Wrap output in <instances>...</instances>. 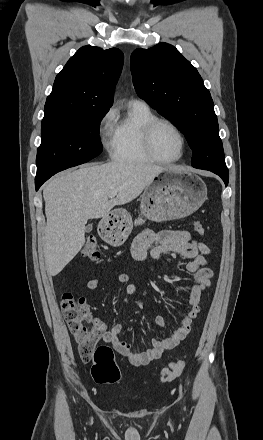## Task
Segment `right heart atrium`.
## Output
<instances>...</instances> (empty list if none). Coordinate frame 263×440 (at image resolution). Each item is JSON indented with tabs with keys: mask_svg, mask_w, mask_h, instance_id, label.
<instances>
[{
	"mask_svg": "<svg viewBox=\"0 0 263 440\" xmlns=\"http://www.w3.org/2000/svg\"><path fill=\"white\" fill-rule=\"evenodd\" d=\"M114 119L115 111L111 108L102 115L98 125V134L102 144L107 150L110 151L115 133Z\"/></svg>",
	"mask_w": 263,
	"mask_h": 440,
	"instance_id": "1",
	"label": "right heart atrium"
}]
</instances>
